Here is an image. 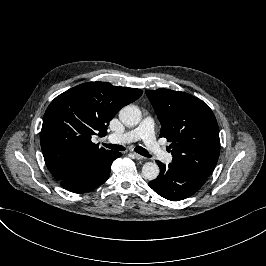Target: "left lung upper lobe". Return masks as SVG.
<instances>
[{"instance_id": "obj_1", "label": "left lung upper lobe", "mask_w": 266, "mask_h": 266, "mask_svg": "<svg viewBox=\"0 0 266 266\" xmlns=\"http://www.w3.org/2000/svg\"><path fill=\"white\" fill-rule=\"evenodd\" d=\"M146 95L162 125L160 137L171 142L172 163L208 177L220 153L219 129L212 110L181 91L147 90Z\"/></svg>"}]
</instances>
